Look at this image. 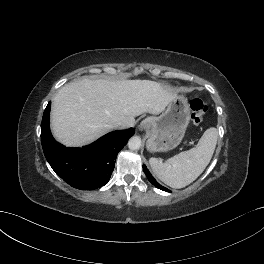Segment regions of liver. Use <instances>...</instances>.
Returning <instances> with one entry per match:
<instances>
[{
  "label": "liver",
  "mask_w": 264,
  "mask_h": 264,
  "mask_svg": "<svg viewBox=\"0 0 264 264\" xmlns=\"http://www.w3.org/2000/svg\"><path fill=\"white\" fill-rule=\"evenodd\" d=\"M176 96V90L151 80L84 78L55 95L51 129L64 145L83 146L113 130L117 122L129 128L142 113L160 114Z\"/></svg>",
  "instance_id": "1"
}]
</instances>
